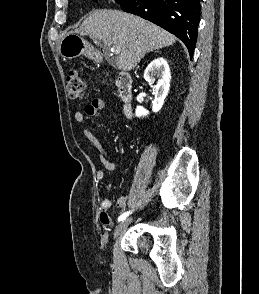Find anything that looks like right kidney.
Masks as SVG:
<instances>
[{"label": "right kidney", "instance_id": "1", "mask_svg": "<svg viewBox=\"0 0 259 294\" xmlns=\"http://www.w3.org/2000/svg\"><path fill=\"white\" fill-rule=\"evenodd\" d=\"M155 76L158 80L154 85L155 99L153 101L152 111L158 112L163 104L164 100L169 92L170 87V69L167 61L163 57L154 59L144 71V79L149 83L155 82ZM149 112L142 106H137L135 115L137 117L146 116Z\"/></svg>", "mask_w": 259, "mask_h": 294}]
</instances>
